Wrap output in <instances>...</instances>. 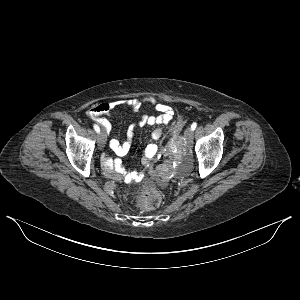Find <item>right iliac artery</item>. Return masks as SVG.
Segmentation results:
<instances>
[{
    "instance_id": "1",
    "label": "right iliac artery",
    "mask_w": 300,
    "mask_h": 300,
    "mask_svg": "<svg viewBox=\"0 0 300 300\" xmlns=\"http://www.w3.org/2000/svg\"><path fill=\"white\" fill-rule=\"evenodd\" d=\"M94 130L97 132V133H99L100 132V128H99V126L98 125H96V124H94Z\"/></svg>"
}]
</instances>
